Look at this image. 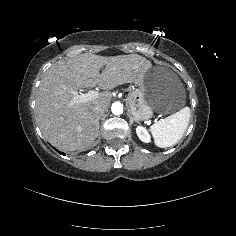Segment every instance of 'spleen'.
<instances>
[{
  "mask_svg": "<svg viewBox=\"0 0 236 236\" xmlns=\"http://www.w3.org/2000/svg\"><path fill=\"white\" fill-rule=\"evenodd\" d=\"M190 116V108L184 107L175 114L153 124L150 131L154 137L156 146L166 148L176 144L185 133Z\"/></svg>",
  "mask_w": 236,
  "mask_h": 236,
  "instance_id": "1",
  "label": "spleen"
}]
</instances>
